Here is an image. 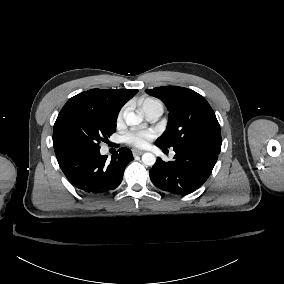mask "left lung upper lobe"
<instances>
[{"mask_svg": "<svg viewBox=\"0 0 284 284\" xmlns=\"http://www.w3.org/2000/svg\"><path fill=\"white\" fill-rule=\"evenodd\" d=\"M146 92L162 100L169 109L167 129L157 143L166 147L188 146L217 155L220 153V126L203 96L178 86L156 87L146 89Z\"/></svg>", "mask_w": 284, "mask_h": 284, "instance_id": "1", "label": "left lung upper lobe"}]
</instances>
